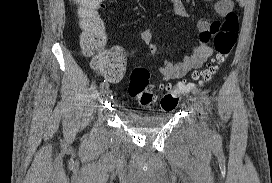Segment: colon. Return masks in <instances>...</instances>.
Masks as SVG:
<instances>
[{
	"instance_id": "obj_1",
	"label": "colon",
	"mask_w": 272,
	"mask_h": 183,
	"mask_svg": "<svg viewBox=\"0 0 272 183\" xmlns=\"http://www.w3.org/2000/svg\"><path fill=\"white\" fill-rule=\"evenodd\" d=\"M105 0H73L75 15L80 30V43L83 52L87 56L95 57L97 67L105 69L115 59L108 51H103L106 43V32L103 20L98 15V10ZM219 25L214 37L215 55L212 62L201 73L195 74V79L200 82L208 81L218 70L232 51L238 36V17L235 12L226 15ZM150 73L145 68H135L129 78L128 92L130 96L137 99L141 106L151 109L157 102V96L150 84ZM193 88L191 84H177L169 88L168 92L161 98V107L164 111L176 108L180 97Z\"/></svg>"
}]
</instances>
